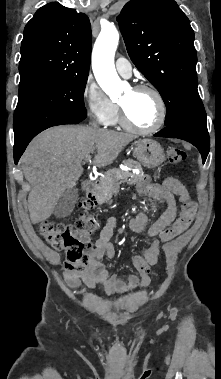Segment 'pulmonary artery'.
<instances>
[{"label":"pulmonary artery","mask_w":221,"mask_h":379,"mask_svg":"<svg viewBox=\"0 0 221 379\" xmlns=\"http://www.w3.org/2000/svg\"><path fill=\"white\" fill-rule=\"evenodd\" d=\"M117 72L125 78H129L132 75L131 63L126 58H118L115 63Z\"/></svg>","instance_id":"1"}]
</instances>
